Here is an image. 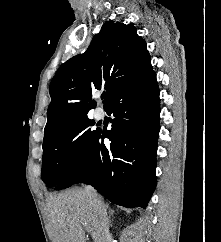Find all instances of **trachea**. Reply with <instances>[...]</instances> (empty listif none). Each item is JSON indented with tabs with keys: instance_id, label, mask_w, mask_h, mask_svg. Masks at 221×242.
Instances as JSON below:
<instances>
[{
	"instance_id": "1",
	"label": "trachea",
	"mask_w": 221,
	"mask_h": 242,
	"mask_svg": "<svg viewBox=\"0 0 221 242\" xmlns=\"http://www.w3.org/2000/svg\"><path fill=\"white\" fill-rule=\"evenodd\" d=\"M104 98H105V95H102V96H101V99H104Z\"/></svg>"
}]
</instances>
